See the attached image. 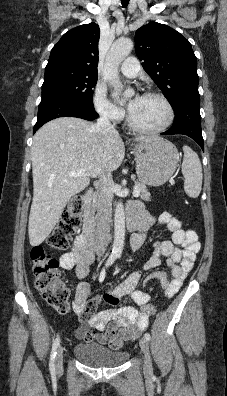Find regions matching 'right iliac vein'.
Returning <instances> with one entry per match:
<instances>
[{"mask_svg": "<svg viewBox=\"0 0 227 396\" xmlns=\"http://www.w3.org/2000/svg\"><path fill=\"white\" fill-rule=\"evenodd\" d=\"M55 363H56V368L57 369H60L62 367V364H63V348L61 346L57 350Z\"/></svg>", "mask_w": 227, "mask_h": 396, "instance_id": "right-iliac-vein-1", "label": "right iliac vein"}]
</instances>
